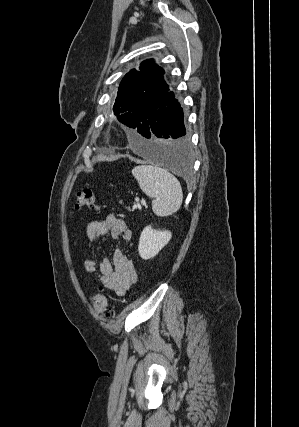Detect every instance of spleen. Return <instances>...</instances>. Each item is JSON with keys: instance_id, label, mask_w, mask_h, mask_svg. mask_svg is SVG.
I'll return each instance as SVG.
<instances>
[{"instance_id": "obj_1", "label": "spleen", "mask_w": 299, "mask_h": 427, "mask_svg": "<svg viewBox=\"0 0 299 427\" xmlns=\"http://www.w3.org/2000/svg\"><path fill=\"white\" fill-rule=\"evenodd\" d=\"M132 174L140 189L152 201V210L157 216H169L177 212L182 204L183 192L180 182L166 169L155 165H139Z\"/></svg>"}]
</instances>
